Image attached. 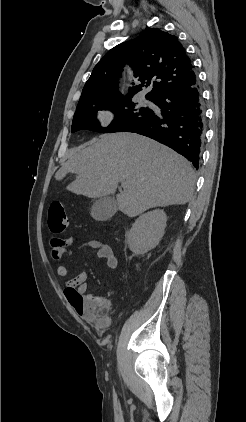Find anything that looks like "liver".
<instances>
[{"label":"liver","mask_w":246,"mask_h":422,"mask_svg":"<svg viewBox=\"0 0 246 422\" xmlns=\"http://www.w3.org/2000/svg\"><path fill=\"white\" fill-rule=\"evenodd\" d=\"M76 179L66 189L77 195L99 198L117 194L119 210L136 217L154 207L183 205L192 198L195 172L184 157L135 133L101 135L77 149L55 174Z\"/></svg>","instance_id":"1"}]
</instances>
